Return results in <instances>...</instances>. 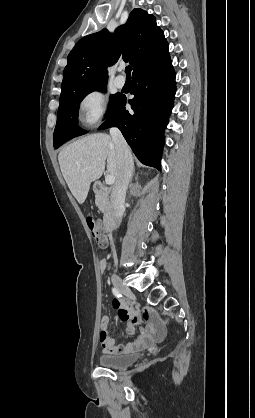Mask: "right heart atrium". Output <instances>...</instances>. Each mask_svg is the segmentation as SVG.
Segmentation results:
<instances>
[{
	"label": "right heart atrium",
	"instance_id": "1",
	"mask_svg": "<svg viewBox=\"0 0 255 418\" xmlns=\"http://www.w3.org/2000/svg\"><path fill=\"white\" fill-rule=\"evenodd\" d=\"M106 109L107 103L104 93L98 89L91 90L79 102V121L84 126H94L104 117Z\"/></svg>",
	"mask_w": 255,
	"mask_h": 418
}]
</instances>
